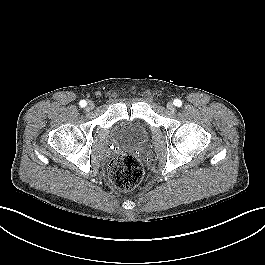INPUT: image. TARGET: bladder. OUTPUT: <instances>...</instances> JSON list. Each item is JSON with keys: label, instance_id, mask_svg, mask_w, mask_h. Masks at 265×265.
I'll return each instance as SVG.
<instances>
[{"label": "bladder", "instance_id": "31cf9c89", "mask_svg": "<svg viewBox=\"0 0 265 265\" xmlns=\"http://www.w3.org/2000/svg\"><path fill=\"white\" fill-rule=\"evenodd\" d=\"M114 133L118 140L124 144H141L148 136L146 126L137 121L124 122L117 125L114 128Z\"/></svg>", "mask_w": 265, "mask_h": 265}]
</instances>
